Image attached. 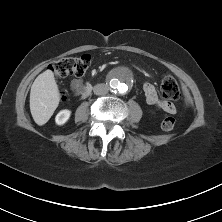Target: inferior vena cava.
<instances>
[{
    "label": "inferior vena cava",
    "instance_id": "602c4592",
    "mask_svg": "<svg viewBox=\"0 0 222 222\" xmlns=\"http://www.w3.org/2000/svg\"><path fill=\"white\" fill-rule=\"evenodd\" d=\"M108 91H109V87L104 83L97 84L93 88L94 94L100 95V96L106 95Z\"/></svg>",
    "mask_w": 222,
    "mask_h": 222
}]
</instances>
